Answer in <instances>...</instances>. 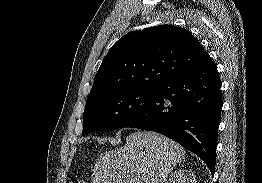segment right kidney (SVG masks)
<instances>
[{"label":"right kidney","mask_w":262,"mask_h":183,"mask_svg":"<svg viewBox=\"0 0 262 183\" xmlns=\"http://www.w3.org/2000/svg\"><path fill=\"white\" fill-rule=\"evenodd\" d=\"M167 183H196L195 174L191 170H175Z\"/></svg>","instance_id":"ca27d5eb"}]
</instances>
